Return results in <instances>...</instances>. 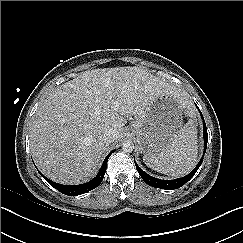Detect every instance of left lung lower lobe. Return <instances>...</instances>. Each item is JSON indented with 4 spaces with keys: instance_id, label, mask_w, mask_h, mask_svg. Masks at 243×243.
Segmentation results:
<instances>
[{
    "instance_id": "0a47b994",
    "label": "left lung lower lobe",
    "mask_w": 243,
    "mask_h": 243,
    "mask_svg": "<svg viewBox=\"0 0 243 243\" xmlns=\"http://www.w3.org/2000/svg\"><path fill=\"white\" fill-rule=\"evenodd\" d=\"M197 106V105H196ZM198 108V107H197ZM199 109V108H198ZM200 111V110H199ZM202 120H203V138H204V143H205V150L204 153L206 152V147H207V141H208V134H207V128H206V123L204 121L203 115L200 111ZM203 162V157L200 159L198 165L194 168V170L189 173L188 175L182 177V178H178L175 180H160L157 178H154L150 175H148L147 173H145L135 162V166L136 169L138 171V173L140 174L141 178L150 186L155 187V188H160V189H166V190H173V189H177L180 188L181 186H183L187 181L190 180V178L193 177V175L197 172V170L199 169V167L201 166Z\"/></svg>"
}]
</instances>
